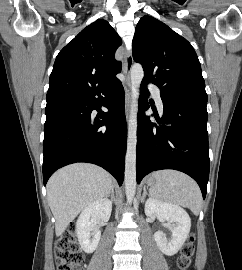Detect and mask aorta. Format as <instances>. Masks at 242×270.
<instances>
[{
    "label": "aorta",
    "instance_id": "1",
    "mask_svg": "<svg viewBox=\"0 0 242 270\" xmlns=\"http://www.w3.org/2000/svg\"><path fill=\"white\" fill-rule=\"evenodd\" d=\"M131 108L128 121L127 152L125 157V193L127 202L132 203L136 192V145L137 112L141 81L144 77L142 65L135 63L131 68Z\"/></svg>",
    "mask_w": 242,
    "mask_h": 270
}]
</instances>
